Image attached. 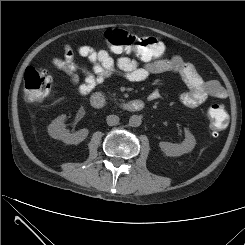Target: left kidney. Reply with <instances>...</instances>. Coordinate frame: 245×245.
<instances>
[{
    "label": "left kidney",
    "mask_w": 245,
    "mask_h": 245,
    "mask_svg": "<svg viewBox=\"0 0 245 245\" xmlns=\"http://www.w3.org/2000/svg\"><path fill=\"white\" fill-rule=\"evenodd\" d=\"M196 140L189 130L185 129V139L181 144H173L170 142H160L159 146L166 156L176 157L184 153L190 152L195 147Z\"/></svg>",
    "instance_id": "5707ae66"
}]
</instances>
